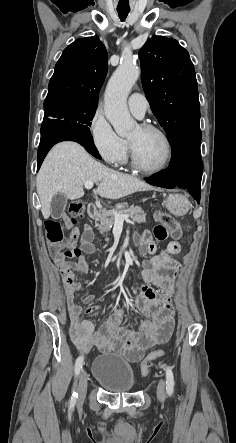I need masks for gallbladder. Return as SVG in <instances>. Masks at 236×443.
Returning <instances> with one entry per match:
<instances>
[{
    "label": "gallbladder",
    "instance_id": "gallbladder-1",
    "mask_svg": "<svg viewBox=\"0 0 236 443\" xmlns=\"http://www.w3.org/2000/svg\"><path fill=\"white\" fill-rule=\"evenodd\" d=\"M67 202V197L62 193H57L53 196L50 203V214L52 218L58 219L63 215Z\"/></svg>",
    "mask_w": 236,
    "mask_h": 443
}]
</instances>
